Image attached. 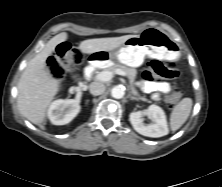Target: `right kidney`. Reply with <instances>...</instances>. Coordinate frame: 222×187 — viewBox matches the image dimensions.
Listing matches in <instances>:
<instances>
[{"label":"right kidney","instance_id":"right-kidney-1","mask_svg":"<svg viewBox=\"0 0 222 187\" xmlns=\"http://www.w3.org/2000/svg\"><path fill=\"white\" fill-rule=\"evenodd\" d=\"M79 111V101L75 99H59L51 103L47 114L52 124L64 125L73 120Z\"/></svg>","mask_w":222,"mask_h":187}]
</instances>
